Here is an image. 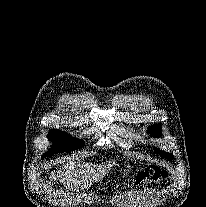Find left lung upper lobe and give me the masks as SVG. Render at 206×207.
<instances>
[{"instance_id":"5c2ea615","label":"left lung upper lobe","mask_w":206,"mask_h":207,"mask_svg":"<svg viewBox=\"0 0 206 207\" xmlns=\"http://www.w3.org/2000/svg\"><path fill=\"white\" fill-rule=\"evenodd\" d=\"M148 132L151 134V135H154L156 137H159L160 134H161V126L160 125H153L150 127V129L148 130ZM154 150L159 153L161 156L165 157L166 159H169L171 160L173 155L172 154H169V153H166V152H163L161 150H159L158 148H154Z\"/></svg>"}]
</instances>
